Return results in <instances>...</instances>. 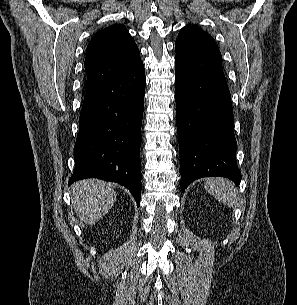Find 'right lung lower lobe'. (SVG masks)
<instances>
[{
  "mask_svg": "<svg viewBox=\"0 0 297 305\" xmlns=\"http://www.w3.org/2000/svg\"><path fill=\"white\" fill-rule=\"evenodd\" d=\"M143 63L128 74L86 91L69 180L99 178L125 186L140 205V132L143 118Z\"/></svg>",
  "mask_w": 297,
  "mask_h": 305,
  "instance_id": "right-lung-lower-lobe-1",
  "label": "right lung lower lobe"
}]
</instances>
